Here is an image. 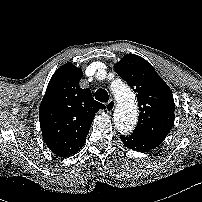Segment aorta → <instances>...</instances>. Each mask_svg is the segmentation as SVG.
<instances>
[{
  "label": "aorta",
  "mask_w": 202,
  "mask_h": 202,
  "mask_svg": "<svg viewBox=\"0 0 202 202\" xmlns=\"http://www.w3.org/2000/svg\"><path fill=\"white\" fill-rule=\"evenodd\" d=\"M115 99L118 101L114 113V124L122 134L132 132L138 121V110L134 94L129 86L120 84L113 89Z\"/></svg>",
  "instance_id": "762f6f07"
}]
</instances>
